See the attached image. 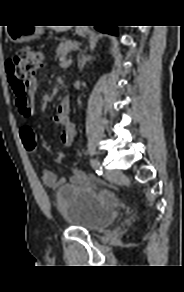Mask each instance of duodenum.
Returning a JSON list of instances; mask_svg holds the SVG:
<instances>
[{"label":"duodenum","instance_id":"obj_1","mask_svg":"<svg viewBox=\"0 0 184 292\" xmlns=\"http://www.w3.org/2000/svg\"><path fill=\"white\" fill-rule=\"evenodd\" d=\"M70 107H71L70 99L68 98L62 99L57 106L58 115L65 116L69 112Z\"/></svg>","mask_w":184,"mask_h":292}]
</instances>
